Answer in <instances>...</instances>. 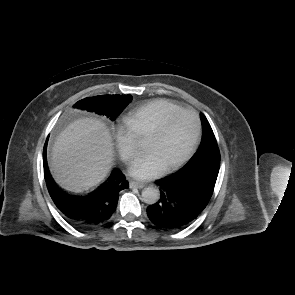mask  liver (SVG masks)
Returning a JSON list of instances; mask_svg holds the SVG:
<instances>
[{"label": "liver", "mask_w": 295, "mask_h": 295, "mask_svg": "<svg viewBox=\"0 0 295 295\" xmlns=\"http://www.w3.org/2000/svg\"><path fill=\"white\" fill-rule=\"evenodd\" d=\"M114 159L106 125L95 118H80L58 135L51 152L50 170L64 189L80 193L99 185Z\"/></svg>", "instance_id": "obj_1"}]
</instances>
